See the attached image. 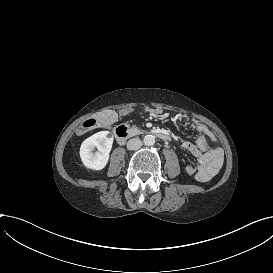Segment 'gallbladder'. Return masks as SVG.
Wrapping results in <instances>:
<instances>
[{"label": "gallbladder", "mask_w": 273, "mask_h": 273, "mask_svg": "<svg viewBox=\"0 0 273 273\" xmlns=\"http://www.w3.org/2000/svg\"><path fill=\"white\" fill-rule=\"evenodd\" d=\"M136 112V109L134 107H129V108H125L123 110V113L125 115H128V114H134ZM121 117H123V114H121Z\"/></svg>", "instance_id": "bac80fb5"}]
</instances>
